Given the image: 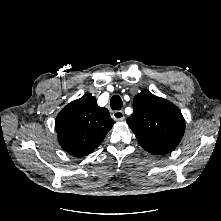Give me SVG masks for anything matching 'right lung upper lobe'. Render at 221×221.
<instances>
[{"label":"right lung upper lobe","instance_id":"right-lung-upper-lobe-1","mask_svg":"<svg viewBox=\"0 0 221 221\" xmlns=\"http://www.w3.org/2000/svg\"><path fill=\"white\" fill-rule=\"evenodd\" d=\"M114 123L109 111L86 94L57 115L55 129L64 150L74 156H86L100 145Z\"/></svg>","mask_w":221,"mask_h":221}]
</instances>
